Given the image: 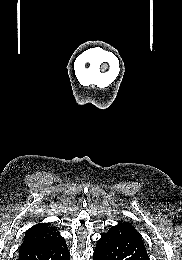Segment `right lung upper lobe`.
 <instances>
[{"label": "right lung upper lobe", "instance_id": "right-lung-upper-lobe-1", "mask_svg": "<svg viewBox=\"0 0 182 260\" xmlns=\"http://www.w3.org/2000/svg\"><path fill=\"white\" fill-rule=\"evenodd\" d=\"M61 240H63V238L56 232L55 229H50L48 227V223H39L31 227L26 232L25 239L20 246L19 252L51 243H56Z\"/></svg>", "mask_w": 182, "mask_h": 260}]
</instances>
